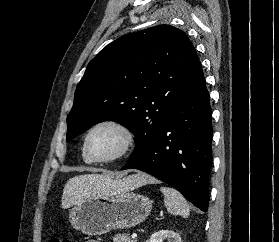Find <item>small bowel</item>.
I'll return each mask as SVG.
<instances>
[{
	"label": "small bowel",
	"mask_w": 279,
	"mask_h": 242,
	"mask_svg": "<svg viewBox=\"0 0 279 242\" xmlns=\"http://www.w3.org/2000/svg\"><path fill=\"white\" fill-rule=\"evenodd\" d=\"M87 242H98L97 240H89Z\"/></svg>",
	"instance_id": "small-bowel-1"
}]
</instances>
